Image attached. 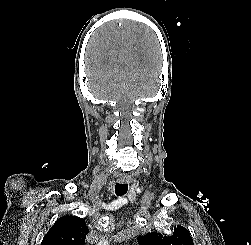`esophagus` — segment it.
<instances>
[{"label": "esophagus", "mask_w": 251, "mask_h": 245, "mask_svg": "<svg viewBox=\"0 0 251 245\" xmlns=\"http://www.w3.org/2000/svg\"><path fill=\"white\" fill-rule=\"evenodd\" d=\"M119 181H120L121 183H130V181L127 180V179H120Z\"/></svg>", "instance_id": "34e87169"}]
</instances>
